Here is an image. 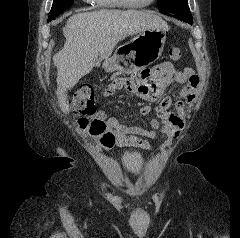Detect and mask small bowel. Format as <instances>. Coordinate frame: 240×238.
<instances>
[{
	"label": "small bowel",
	"mask_w": 240,
	"mask_h": 238,
	"mask_svg": "<svg viewBox=\"0 0 240 238\" xmlns=\"http://www.w3.org/2000/svg\"><path fill=\"white\" fill-rule=\"evenodd\" d=\"M172 82L186 84L180 91L178 98L173 103L170 97H164L159 105L154 108L158 119H152L150 128L145 129L141 126H129L121 124L115 117H107L105 112L98 111L94 117L105 122L107 131L113 136V142L107 147L134 146L142 149H151L148 139H153L161 132L163 142L159 146L160 151L169 148L173 138L177 137L184 126L185 105L191 103L198 88V77L190 67L177 69L170 62H163L148 72L141 73L140 78L136 79H115L108 84L103 92V98L113 95L120 89L125 88L130 93L141 98L153 101L161 98L166 87ZM174 104L175 112L170 108ZM151 111L148 105L141 106L139 113L142 116Z\"/></svg>",
	"instance_id": "small-bowel-1"
}]
</instances>
